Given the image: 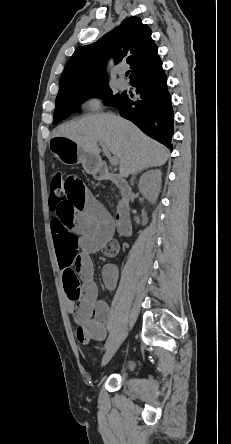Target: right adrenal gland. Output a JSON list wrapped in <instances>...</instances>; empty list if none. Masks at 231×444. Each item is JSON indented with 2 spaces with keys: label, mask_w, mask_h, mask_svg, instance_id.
Wrapping results in <instances>:
<instances>
[{
  "label": "right adrenal gland",
  "mask_w": 231,
  "mask_h": 444,
  "mask_svg": "<svg viewBox=\"0 0 231 444\" xmlns=\"http://www.w3.org/2000/svg\"><path fill=\"white\" fill-rule=\"evenodd\" d=\"M143 170H145V169H143ZM143 170H140V171L136 172L135 174H133V176H132V178H131V185H133V180H134L135 176H136L138 173H141Z\"/></svg>",
  "instance_id": "1"
}]
</instances>
